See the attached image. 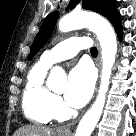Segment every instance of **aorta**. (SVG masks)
<instances>
[{"label":"aorta","instance_id":"aorta-1","mask_svg":"<svg viewBox=\"0 0 136 136\" xmlns=\"http://www.w3.org/2000/svg\"><path fill=\"white\" fill-rule=\"evenodd\" d=\"M87 27L96 35L101 45L102 75L98 96L91 108L85 113L78 124L75 136H90L98 123L105 105L106 93L109 88L111 70L117 52V40L110 23L95 13L73 11L59 21V30L69 32ZM48 87L55 92L66 89V74L61 67H54L49 75Z\"/></svg>","mask_w":136,"mask_h":136}]
</instances>
